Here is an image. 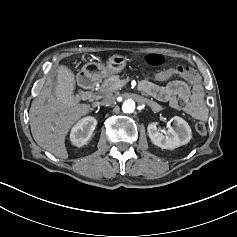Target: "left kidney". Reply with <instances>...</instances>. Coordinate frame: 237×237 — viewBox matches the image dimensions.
<instances>
[{"label":"left kidney","instance_id":"obj_1","mask_svg":"<svg viewBox=\"0 0 237 237\" xmlns=\"http://www.w3.org/2000/svg\"><path fill=\"white\" fill-rule=\"evenodd\" d=\"M171 120L173 121V126L169 128L167 135L159 132L157 129L158 122L148 124V136L154 145L163 149L173 150L190 141L191 128L188 123L178 116L172 117Z\"/></svg>","mask_w":237,"mask_h":237}]
</instances>
